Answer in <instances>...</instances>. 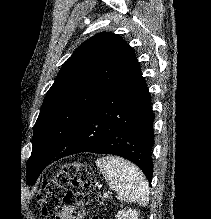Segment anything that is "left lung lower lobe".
Returning <instances> with one entry per match:
<instances>
[{
  "label": "left lung lower lobe",
  "mask_w": 211,
  "mask_h": 219,
  "mask_svg": "<svg viewBox=\"0 0 211 219\" xmlns=\"http://www.w3.org/2000/svg\"><path fill=\"white\" fill-rule=\"evenodd\" d=\"M154 114L146 82L136 61L91 107L59 154L39 149L33 161L45 168L53 160L91 152L113 154L139 166L152 179Z\"/></svg>",
  "instance_id": "0a47b994"
}]
</instances>
